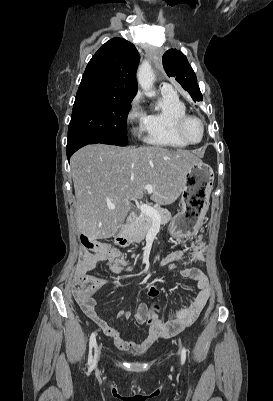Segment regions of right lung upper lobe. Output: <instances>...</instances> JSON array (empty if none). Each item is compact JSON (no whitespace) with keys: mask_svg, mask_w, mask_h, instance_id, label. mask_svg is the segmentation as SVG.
I'll list each match as a JSON object with an SVG mask.
<instances>
[{"mask_svg":"<svg viewBox=\"0 0 273 401\" xmlns=\"http://www.w3.org/2000/svg\"><path fill=\"white\" fill-rule=\"evenodd\" d=\"M139 59L131 42L122 38L109 40L89 61L76 97L97 96L132 101L137 93Z\"/></svg>","mask_w":273,"mask_h":401,"instance_id":"right-lung-upper-lobe-1","label":"right lung upper lobe"}]
</instances>
